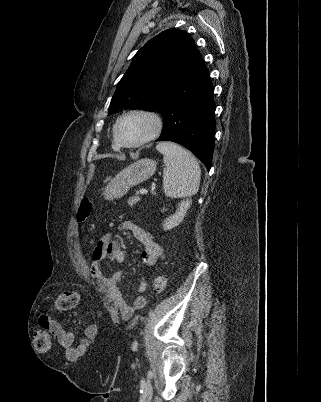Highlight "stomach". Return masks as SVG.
Wrapping results in <instances>:
<instances>
[{
  "instance_id": "stomach-1",
  "label": "stomach",
  "mask_w": 321,
  "mask_h": 402,
  "mask_svg": "<svg viewBox=\"0 0 321 402\" xmlns=\"http://www.w3.org/2000/svg\"><path fill=\"white\" fill-rule=\"evenodd\" d=\"M156 170V161L144 158L126 167L107 183L102 195L107 200H113L124 196L128 190L148 178Z\"/></svg>"
}]
</instances>
